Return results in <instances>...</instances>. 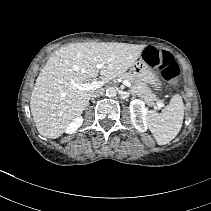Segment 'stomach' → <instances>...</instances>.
<instances>
[{"mask_svg": "<svg viewBox=\"0 0 211 211\" xmlns=\"http://www.w3.org/2000/svg\"><path fill=\"white\" fill-rule=\"evenodd\" d=\"M134 76L144 82L151 84L155 88L159 89L161 83L157 77V75L153 72L152 68L145 62L143 58H140L139 61H136L131 68Z\"/></svg>", "mask_w": 211, "mask_h": 211, "instance_id": "obj_1", "label": "stomach"}]
</instances>
